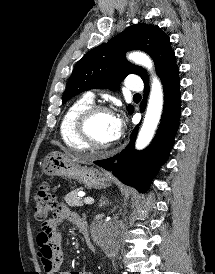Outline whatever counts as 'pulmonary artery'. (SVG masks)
I'll return each instance as SVG.
<instances>
[{
	"instance_id": "pulmonary-artery-1",
	"label": "pulmonary artery",
	"mask_w": 215,
	"mask_h": 274,
	"mask_svg": "<svg viewBox=\"0 0 215 274\" xmlns=\"http://www.w3.org/2000/svg\"><path fill=\"white\" fill-rule=\"evenodd\" d=\"M125 87L130 91H136V92H139L143 89L141 80L138 77H134V76L128 77L125 80ZM86 96L93 100L92 93L89 92V93H87Z\"/></svg>"
}]
</instances>
